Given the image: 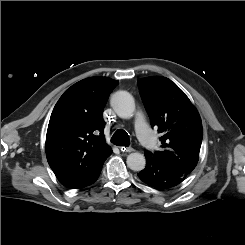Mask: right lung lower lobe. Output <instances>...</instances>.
I'll use <instances>...</instances> for the list:
<instances>
[{"mask_svg": "<svg viewBox=\"0 0 245 245\" xmlns=\"http://www.w3.org/2000/svg\"><path fill=\"white\" fill-rule=\"evenodd\" d=\"M102 166H99L97 169H95V171L90 174L87 178H85L84 180L80 181L79 183H77L76 185H74L73 187H71L72 189H81L84 188L86 186H89L91 184H93L99 177L101 170H102Z\"/></svg>", "mask_w": 245, "mask_h": 245, "instance_id": "right-lung-lower-lobe-1", "label": "right lung lower lobe"}]
</instances>
